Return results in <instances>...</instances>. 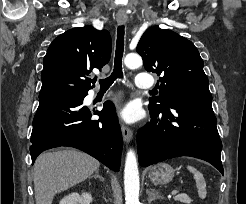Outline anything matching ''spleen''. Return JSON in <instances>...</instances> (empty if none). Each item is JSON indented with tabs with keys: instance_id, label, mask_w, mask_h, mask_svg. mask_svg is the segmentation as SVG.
I'll use <instances>...</instances> for the list:
<instances>
[{
	"instance_id": "obj_1",
	"label": "spleen",
	"mask_w": 246,
	"mask_h": 204,
	"mask_svg": "<svg viewBox=\"0 0 246 204\" xmlns=\"http://www.w3.org/2000/svg\"><path fill=\"white\" fill-rule=\"evenodd\" d=\"M187 169L193 174L196 182V187L198 189V195L200 198L204 199L206 197V182L203 174L199 172L195 167L188 165Z\"/></svg>"
}]
</instances>
